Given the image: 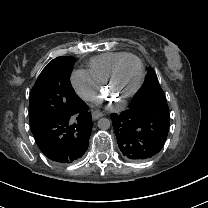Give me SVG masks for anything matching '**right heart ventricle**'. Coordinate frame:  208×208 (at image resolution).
Instances as JSON below:
<instances>
[{
    "instance_id": "obj_1",
    "label": "right heart ventricle",
    "mask_w": 208,
    "mask_h": 208,
    "mask_svg": "<svg viewBox=\"0 0 208 208\" xmlns=\"http://www.w3.org/2000/svg\"><path fill=\"white\" fill-rule=\"evenodd\" d=\"M125 52H107L88 61V73L99 85L104 81L113 64L126 55Z\"/></svg>"
}]
</instances>
